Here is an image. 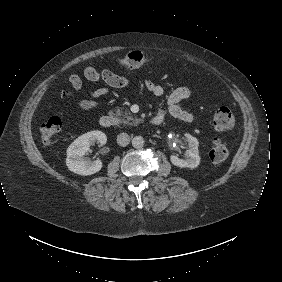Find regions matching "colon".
Returning <instances> with one entry per match:
<instances>
[{
    "mask_svg": "<svg viewBox=\"0 0 282 282\" xmlns=\"http://www.w3.org/2000/svg\"><path fill=\"white\" fill-rule=\"evenodd\" d=\"M151 62V55L140 50L130 51L122 55L118 64L122 68L139 69ZM213 127L217 132H226L234 126V115L229 108H218L213 116ZM62 121L54 116L46 120L40 128V139L44 144L52 143L60 132ZM230 155L227 145L216 139L210 148V157L213 162H223Z\"/></svg>",
    "mask_w": 282,
    "mask_h": 282,
    "instance_id": "obj_1",
    "label": "colon"
}]
</instances>
